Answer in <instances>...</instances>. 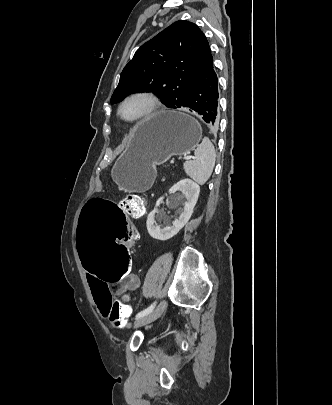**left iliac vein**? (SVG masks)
Listing matches in <instances>:
<instances>
[{"label": "left iliac vein", "mask_w": 332, "mask_h": 405, "mask_svg": "<svg viewBox=\"0 0 332 405\" xmlns=\"http://www.w3.org/2000/svg\"><path fill=\"white\" fill-rule=\"evenodd\" d=\"M166 306H167V301L162 300L153 312H151L150 314H148L144 317L137 318L134 322V327L146 325L148 323L155 321L162 315Z\"/></svg>", "instance_id": "4c4485c4"}]
</instances>
